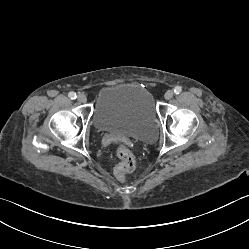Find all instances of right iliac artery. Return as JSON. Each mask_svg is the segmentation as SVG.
Here are the masks:
<instances>
[{
	"instance_id": "right-iliac-artery-1",
	"label": "right iliac artery",
	"mask_w": 249,
	"mask_h": 249,
	"mask_svg": "<svg viewBox=\"0 0 249 249\" xmlns=\"http://www.w3.org/2000/svg\"><path fill=\"white\" fill-rule=\"evenodd\" d=\"M68 96H69V98L72 99V100H74V99L77 98V95H76L75 92H70V93L68 94Z\"/></svg>"
}]
</instances>
